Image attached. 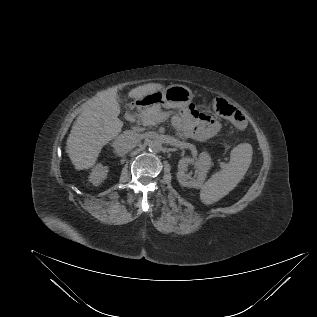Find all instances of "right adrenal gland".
I'll return each mask as SVG.
<instances>
[{"instance_id":"right-adrenal-gland-1","label":"right adrenal gland","mask_w":317,"mask_h":317,"mask_svg":"<svg viewBox=\"0 0 317 317\" xmlns=\"http://www.w3.org/2000/svg\"><path fill=\"white\" fill-rule=\"evenodd\" d=\"M113 153H114L116 156H120L116 151H113Z\"/></svg>"}]
</instances>
